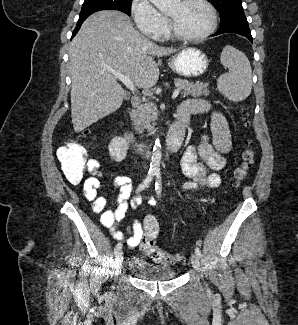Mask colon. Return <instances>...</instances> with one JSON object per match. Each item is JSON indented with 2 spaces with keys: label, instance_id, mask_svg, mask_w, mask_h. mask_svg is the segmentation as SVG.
Returning <instances> with one entry per match:
<instances>
[{
  "label": "colon",
  "instance_id": "1",
  "mask_svg": "<svg viewBox=\"0 0 298 325\" xmlns=\"http://www.w3.org/2000/svg\"><path fill=\"white\" fill-rule=\"evenodd\" d=\"M58 159L62 166L66 179L77 184L83 180L86 173L91 174L99 169V162L89 159L79 148L64 146L58 152ZM254 163V151L247 148L243 152L242 162L235 170V182H240L246 178ZM159 233V224L154 216H146L143 222V234L139 243L140 249L153 261L171 265L182 260L179 255L171 254L156 245V238Z\"/></svg>",
  "mask_w": 298,
  "mask_h": 325
}]
</instances>
